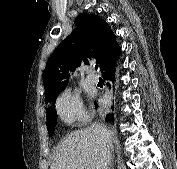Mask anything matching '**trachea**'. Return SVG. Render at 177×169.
<instances>
[{
    "label": "trachea",
    "instance_id": "trachea-1",
    "mask_svg": "<svg viewBox=\"0 0 177 169\" xmlns=\"http://www.w3.org/2000/svg\"><path fill=\"white\" fill-rule=\"evenodd\" d=\"M95 69H96V70L98 69V66H97V65L95 66Z\"/></svg>",
    "mask_w": 177,
    "mask_h": 169
}]
</instances>
